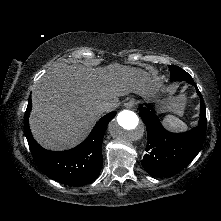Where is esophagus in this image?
<instances>
[{
  "label": "esophagus",
  "mask_w": 221,
  "mask_h": 221,
  "mask_svg": "<svg viewBox=\"0 0 221 221\" xmlns=\"http://www.w3.org/2000/svg\"><path fill=\"white\" fill-rule=\"evenodd\" d=\"M135 104H136L135 99H130L124 105H125L126 108H132V107H134Z\"/></svg>",
  "instance_id": "esophagus-1"
}]
</instances>
